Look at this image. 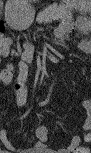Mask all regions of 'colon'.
I'll list each match as a JSON object with an SVG mask.
<instances>
[{"instance_id": "1", "label": "colon", "mask_w": 91, "mask_h": 153, "mask_svg": "<svg viewBox=\"0 0 91 153\" xmlns=\"http://www.w3.org/2000/svg\"><path fill=\"white\" fill-rule=\"evenodd\" d=\"M4 42L6 43V42H7V40H6V39H4Z\"/></svg>"}]
</instances>
